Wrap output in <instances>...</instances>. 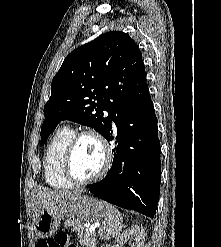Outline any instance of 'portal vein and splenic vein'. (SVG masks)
Returning a JSON list of instances; mask_svg holds the SVG:
<instances>
[{"label": "portal vein and splenic vein", "mask_w": 221, "mask_h": 247, "mask_svg": "<svg viewBox=\"0 0 221 247\" xmlns=\"http://www.w3.org/2000/svg\"><path fill=\"white\" fill-rule=\"evenodd\" d=\"M93 231H94V229H92V228L87 229V232H88V233H91V234H92Z\"/></svg>", "instance_id": "1"}]
</instances>
